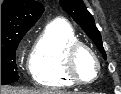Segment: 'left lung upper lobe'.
I'll return each instance as SVG.
<instances>
[{
	"mask_svg": "<svg viewBox=\"0 0 121 94\" xmlns=\"http://www.w3.org/2000/svg\"><path fill=\"white\" fill-rule=\"evenodd\" d=\"M63 9L68 12L72 18L80 24L85 33L96 44L99 51L106 59V53L102 45L101 34L98 31L92 15L87 10L82 0H59Z\"/></svg>",
	"mask_w": 121,
	"mask_h": 94,
	"instance_id": "left-lung-upper-lobe-1",
	"label": "left lung upper lobe"
}]
</instances>
